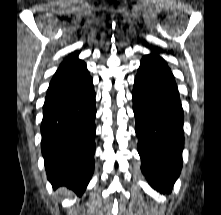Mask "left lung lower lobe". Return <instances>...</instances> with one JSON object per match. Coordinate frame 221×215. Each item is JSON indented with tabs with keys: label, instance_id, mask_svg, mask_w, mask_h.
Here are the masks:
<instances>
[{
	"label": "left lung lower lobe",
	"instance_id": "0a47b994",
	"mask_svg": "<svg viewBox=\"0 0 221 215\" xmlns=\"http://www.w3.org/2000/svg\"><path fill=\"white\" fill-rule=\"evenodd\" d=\"M132 96L142 172L156 191L171 193L182 169L183 109L171 69L157 50L142 58Z\"/></svg>",
	"mask_w": 221,
	"mask_h": 215
}]
</instances>
